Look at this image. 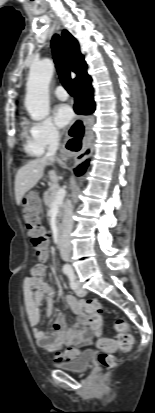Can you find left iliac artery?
Listing matches in <instances>:
<instances>
[{"label": "left iliac artery", "instance_id": "1", "mask_svg": "<svg viewBox=\"0 0 155 413\" xmlns=\"http://www.w3.org/2000/svg\"><path fill=\"white\" fill-rule=\"evenodd\" d=\"M66 274H67V276H68V278H69V282H70V287H71V289L75 290V289L77 288V283H76V280H75V274H74V272H73L72 270H70V271H68Z\"/></svg>", "mask_w": 155, "mask_h": 413}]
</instances>
